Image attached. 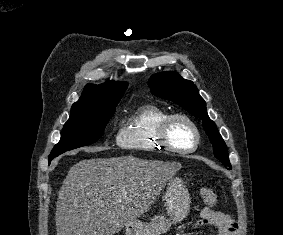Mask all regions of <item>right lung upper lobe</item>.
Masks as SVG:
<instances>
[{"mask_svg": "<svg viewBox=\"0 0 283 235\" xmlns=\"http://www.w3.org/2000/svg\"><path fill=\"white\" fill-rule=\"evenodd\" d=\"M127 83L107 81L102 85L87 84L80 99L73 105L119 103Z\"/></svg>", "mask_w": 283, "mask_h": 235, "instance_id": "right-lung-upper-lobe-1", "label": "right lung upper lobe"}]
</instances>
